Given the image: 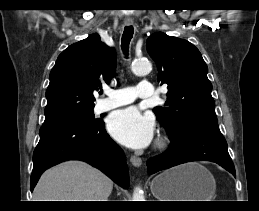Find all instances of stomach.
<instances>
[{"instance_id": "0dacf381", "label": "stomach", "mask_w": 259, "mask_h": 211, "mask_svg": "<svg viewBox=\"0 0 259 211\" xmlns=\"http://www.w3.org/2000/svg\"><path fill=\"white\" fill-rule=\"evenodd\" d=\"M158 201H211L216 183L199 163H187L157 175L150 185Z\"/></svg>"}]
</instances>
